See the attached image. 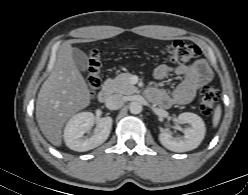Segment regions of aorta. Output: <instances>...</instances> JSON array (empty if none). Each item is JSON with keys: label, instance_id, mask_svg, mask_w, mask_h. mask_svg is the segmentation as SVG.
I'll use <instances>...</instances> for the list:
<instances>
[{"label": "aorta", "instance_id": "762f6f07", "mask_svg": "<svg viewBox=\"0 0 248 195\" xmlns=\"http://www.w3.org/2000/svg\"><path fill=\"white\" fill-rule=\"evenodd\" d=\"M129 109L132 114H139L142 111V105L139 102H131Z\"/></svg>", "mask_w": 248, "mask_h": 195}]
</instances>
